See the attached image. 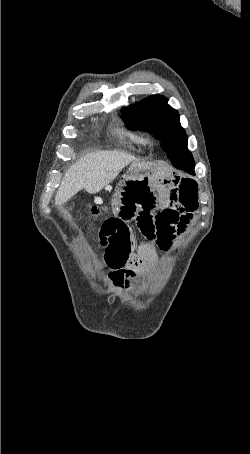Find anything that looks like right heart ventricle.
Wrapping results in <instances>:
<instances>
[{
  "label": "right heart ventricle",
  "mask_w": 250,
  "mask_h": 454,
  "mask_svg": "<svg viewBox=\"0 0 250 454\" xmlns=\"http://www.w3.org/2000/svg\"><path fill=\"white\" fill-rule=\"evenodd\" d=\"M118 135L132 149H139L144 144L143 137L136 132L122 129L119 131Z\"/></svg>",
  "instance_id": "e07e8e85"
}]
</instances>
